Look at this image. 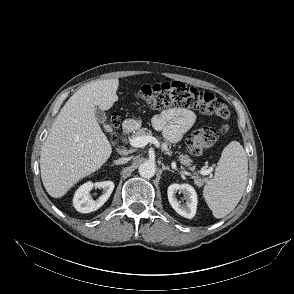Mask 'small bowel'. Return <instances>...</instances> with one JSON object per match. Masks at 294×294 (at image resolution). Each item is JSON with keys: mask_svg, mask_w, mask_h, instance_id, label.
Returning a JSON list of instances; mask_svg holds the SVG:
<instances>
[{"mask_svg": "<svg viewBox=\"0 0 294 294\" xmlns=\"http://www.w3.org/2000/svg\"><path fill=\"white\" fill-rule=\"evenodd\" d=\"M195 114L182 107H173L156 115L152 124L172 143L178 142L195 123Z\"/></svg>", "mask_w": 294, "mask_h": 294, "instance_id": "1", "label": "small bowel"}]
</instances>
